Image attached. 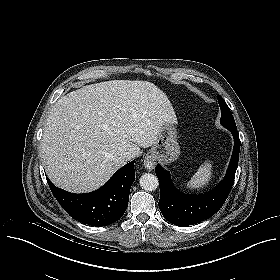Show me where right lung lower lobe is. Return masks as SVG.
Returning a JSON list of instances; mask_svg holds the SVG:
<instances>
[{
	"label": "right lung lower lobe",
	"instance_id": "right-lung-lower-lobe-1",
	"mask_svg": "<svg viewBox=\"0 0 280 280\" xmlns=\"http://www.w3.org/2000/svg\"><path fill=\"white\" fill-rule=\"evenodd\" d=\"M133 165L134 160L120 168L101 188L87 194L69 193L49 179L47 182L59 204L72 218L91 226H107L119 220L126 211L135 180Z\"/></svg>",
	"mask_w": 280,
	"mask_h": 280
}]
</instances>
